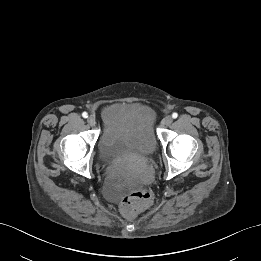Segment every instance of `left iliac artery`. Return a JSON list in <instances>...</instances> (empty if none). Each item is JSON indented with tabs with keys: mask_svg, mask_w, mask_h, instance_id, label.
<instances>
[{
	"mask_svg": "<svg viewBox=\"0 0 261 261\" xmlns=\"http://www.w3.org/2000/svg\"><path fill=\"white\" fill-rule=\"evenodd\" d=\"M172 117H173L174 119H176V118L178 117V114H177V113H173V114H172Z\"/></svg>",
	"mask_w": 261,
	"mask_h": 261,
	"instance_id": "1",
	"label": "left iliac artery"
}]
</instances>
